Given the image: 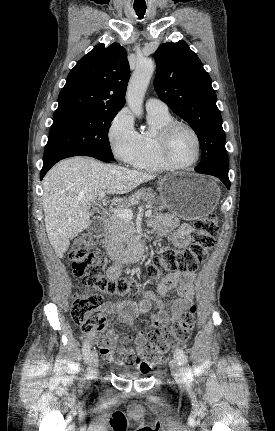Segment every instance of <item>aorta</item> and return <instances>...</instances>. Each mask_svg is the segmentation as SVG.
<instances>
[{"label":"aorta","instance_id":"1","mask_svg":"<svg viewBox=\"0 0 275 431\" xmlns=\"http://www.w3.org/2000/svg\"><path fill=\"white\" fill-rule=\"evenodd\" d=\"M155 64L152 59H144L137 63L132 74L126 93V102L131 111L137 116H142V103L145 92L153 75Z\"/></svg>","mask_w":275,"mask_h":431}]
</instances>
